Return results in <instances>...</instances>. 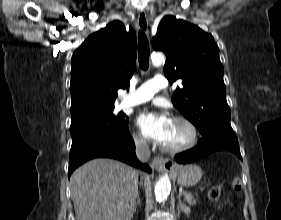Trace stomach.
Segmentation results:
<instances>
[{
	"label": "stomach",
	"instance_id": "1",
	"mask_svg": "<svg viewBox=\"0 0 281 220\" xmlns=\"http://www.w3.org/2000/svg\"><path fill=\"white\" fill-rule=\"evenodd\" d=\"M173 174L177 177L178 184L184 187H192L202 178L201 168L194 164L175 165Z\"/></svg>",
	"mask_w": 281,
	"mask_h": 220
}]
</instances>
